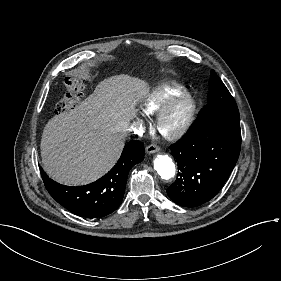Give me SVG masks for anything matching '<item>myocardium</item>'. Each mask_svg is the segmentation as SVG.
I'll return each instance as SVG.
<instances>
[{
    "mask_svg": "<svg viewBox=\"0 0 281 281\" xmlns=\"http://www.w3.org/2000/svg\"><path fill=\"white\" fill-rule=\"evenodd\" d=\"M186 103L187 110L184 118L174 127L168 128L166 121L171 111L181 103ZM196 114V102L194 97L187 92L170 99L155 114L154 125L157 133L166 141L174 142L179 140L191 127Z\"/></svg>",
    "mask_w": 281,
    "mask_h": 281,
    "instance_id": "f54148a6",
    "label": "myocardium"
}]
</instances>
